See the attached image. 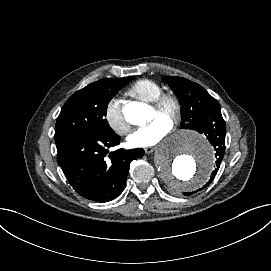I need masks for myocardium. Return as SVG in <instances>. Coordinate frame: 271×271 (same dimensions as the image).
I'll return each mask as SVG.
<instances>
[{"instance_id": "1", "label": "myocardium", "mask_w": 271, "mask_h": 271, "mask_svg": "<svg viewBox=\"0 0 271 271\" xmlns=\"http://www.w3.org/2000/svg\"><path fill=\"white\" fill-rule=\"evenodd\" d=\"M172 107V112L168 109ZM152 108L158 114L167 116L172 127L179 124L184 115V103L182 98L173 91L164 92L152 103Z\"/></svg>"}]
</instances>
